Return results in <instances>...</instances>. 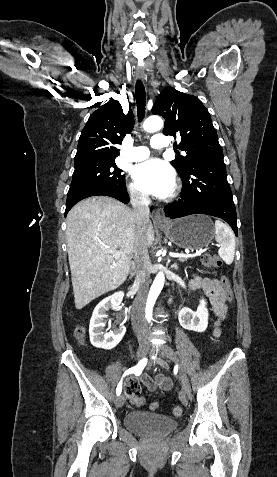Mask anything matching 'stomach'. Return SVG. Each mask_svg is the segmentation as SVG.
Instances as JSON below:
<instances>
[{
	"label": "stomach",
	"mask_w": 277,
	"mask_h": 477,
	"mask_svg": "<svg viewBox=\"0 0 277 477\" xmlns=\"http://www.w3.org/2000/svg\"><path fill=\"white\" fill-rule=\"evenodd\" d=\"M160 229L171 242L188 250L207 247L215 235L213 222L205 215H190L175 219Z\"/></svg>",
	"instance_id": "obj_1"
}]
</instances>
